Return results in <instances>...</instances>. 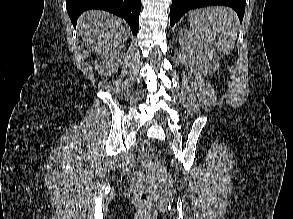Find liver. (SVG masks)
Segmentation results:
<instances>
[{
	"label": "liver",
	"mask_w": 293,
	"mask_h": 219,
	"mask_svg": "<svg viewBox=\"0 0 293 219\" xmlns=\"http://www.w3.org/2000/svg\"><path fill=\"white\" fill-rule=\"evenodd\" d=\"M77 27L86 46L99 55L119 51L127 41L121 20L103 11L84 13L79 17Z\"/></svg>",
	"instance_id": "liver-1"
}]
</instances>
